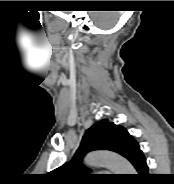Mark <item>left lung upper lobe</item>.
I'll use <instances>...</instances> for the list:
<instances>
[{
	"instance_id": "1",
	"label": "left lung upper lobe",
	"mask_w": 174,
	"mask_h": 184,
	"mask_svg": "<svg viewBox=\"0 0 174 184\" xmlns=\"http://www.w3.org/2000/svg\"><path fill=\"white\" fill-rule=\"evenodd\" d=\"M135 143H137L136 140L124 127L115 125L108 119H103L86 131L71 161L50 174L59 183L66 184L81 183L98 178V175L89 174V170L82 164V159L87 152L110 150L126 157Z\"/></svg>"
}]
</instances>
